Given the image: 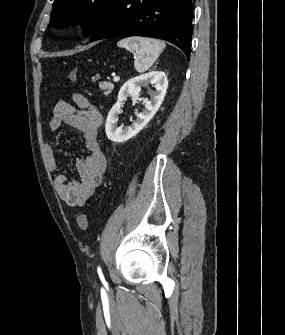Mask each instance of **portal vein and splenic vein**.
<instances>
[{
    "label": "portal vein and splenic vein",
    "mask_w": 285,
    "mask_h": 335,
    "mask_svg": "<svg viewBox=\"0 0 285 335\" xmlns=\"http://www.w3.org/2000/svg\"><path fill=\"white\" fill-rule=\"evenodd\" d=\"M120 78L119 76H114V82H119Z\"/></svg>",
    "instance_id": "1"
}]
</instances>
